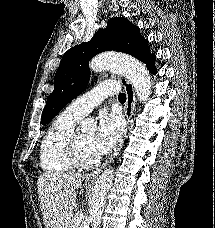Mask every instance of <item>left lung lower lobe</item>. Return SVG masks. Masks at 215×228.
<instances>
[{"label":"left lung lower lobe","mask_w":215,"mask_h":228,"mask_svg":"<svg viewBox=\"0 0 215 228\" xmlns=\"http://www.w3.org/2000/svg\"><path fill=\"white\" fill-rule=\"evenodd\" d=\"M155 60H156V56L153 54L148 61L145 63L147 65L148 70L152 73L155 74L156 73V67H155Z\"/></svg>","instance_id":"0a47b994"}]
</instances>
